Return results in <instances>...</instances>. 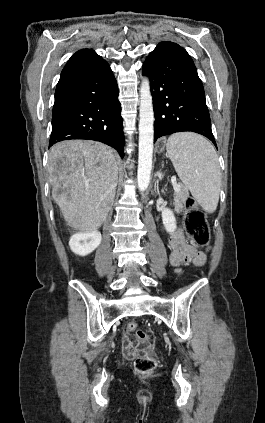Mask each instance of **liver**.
<instances>
[{"instance_id": "6515ba94", "label": "liver", "mask_w": 265, "mask_h": 423, "mask_svg": "<svg viewBox=\"0 0 265 423\" xmlns=\"http://www.w3.org/2000/svg\"><path fill=\"white\" fill-rule=\"evenodd\" d=\"M52 196L66 224L80 232L98 229L113 204L118 166L114 151L89 140H66L49 151Z\"/></svg>"}]
</instances>
